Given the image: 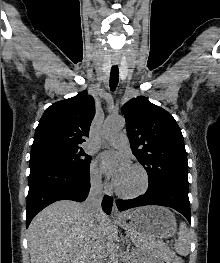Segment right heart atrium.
I'll use <instances>...</instances> for the list:
<instances>
[{
    "label": "right heart atrium",
    "instance_id": "1",
    "mask_svg": "<svg viewBox=\"0 0 220 263\" xmlns=\"http://www.w3.org/2000/svg\"><path fill=\"white\" fill-rule=\"evenodd\" d=\"M90 185L95 190H102L106 186L103 175L95 162H91L89 168Z\"/></svg>",
    "mask_w": 220,
    "mask_h": 263
}]
</instances>
